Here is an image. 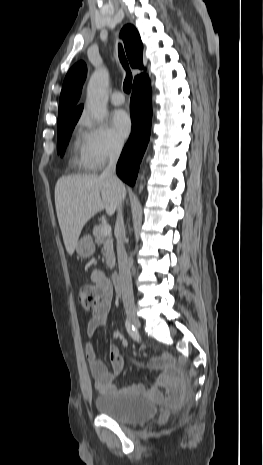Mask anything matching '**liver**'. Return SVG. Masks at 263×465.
Wrapping results in <instances>:
<instances>
[{
	"label": "liver",
	"instance_id": "6515ba94",
	"mask_svg": "<svg viewBox=\"0 0 263 465\" xmlns=\"http://www.w3.org/2000/svg\"><path fill=\"white\" fill-rule=\"evenodd\" d=\"M125 187L119 189L101 175H72L60 177L55 185V206L63 241L68 254L74 253L85 224L105 209L114 214Z\"/></svg>",
	"mask_w": 263,
	"mask_h": 465
}]
</instances>
